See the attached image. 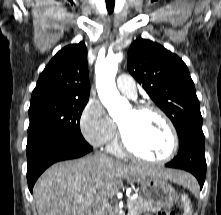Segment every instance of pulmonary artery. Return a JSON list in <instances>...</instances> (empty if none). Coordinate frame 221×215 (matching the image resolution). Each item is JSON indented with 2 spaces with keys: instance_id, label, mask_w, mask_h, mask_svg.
<instances>
[{
  "instance_id": "e3ab8cb5",
  "label": "pulmonary artery",
  "mask_w": 221,
  "mask_h": 215,
  "mask_svg": "<svg viewBox=\"0 0 221 215\" xmlns=\"http://www.w3.org/2000/svg\"><path fill=\"white\" fill-rule=\"evenodd\" d=\"M117 88L125 96L135 99L137 97V89L134 80L127 74H121L117 78Z\"/></svg>"
}]
</instances>
